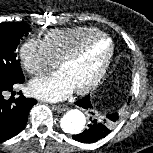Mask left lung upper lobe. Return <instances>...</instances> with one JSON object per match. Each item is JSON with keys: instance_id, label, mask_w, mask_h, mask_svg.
Wrapping results in <instances>:
<instances>
[{"instance_id": "obj_1", "label": "left lung upper lobe", "mask_w": 153, "mask_h": 153, "mask_svg": "<svg viewBox=\"0 0 153 153\" xmlns=\"http://www.w3.org/2000/svg\"><path fill=\"white\" fill-rule=\"evenodd\" d=\"M108 116V115H107ZM108 118V117H107ZM116 122H112L109 118H108V124L110 127H113L115 125Z\"/></svg>"}]
</instances>
